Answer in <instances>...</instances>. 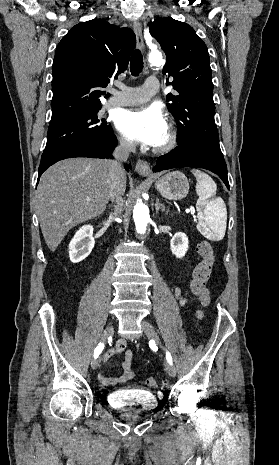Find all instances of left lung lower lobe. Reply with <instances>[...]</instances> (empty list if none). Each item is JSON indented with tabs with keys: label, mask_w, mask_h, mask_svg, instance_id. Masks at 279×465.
I'll list each match as a JSON object with an SVG mask.
<instances>
[{
	"label": "left lung lower lobe",
	"mask_w": 279,
	"mask_h": 465,
	"mask_svg": "<svg viewBox=\"0 0 279 465\" xmlns=\"http://www.w3.org/2000/svg\"><path fill=\"white\" fill-rule=\"evenodd\" d=\"M177 167L204 168L217 174L229 189L227 166L223 155L195 144L178 145L171 152L160 156L154 172Z\"/></svg>",
	"instance_id": "0a47b994"
}]
</instances>
